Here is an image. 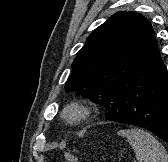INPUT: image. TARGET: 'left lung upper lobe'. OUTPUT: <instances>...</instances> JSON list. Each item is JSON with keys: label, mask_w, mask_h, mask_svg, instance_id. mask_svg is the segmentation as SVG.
Masks as SVG:
<instances>
[{"label": "left lung upper lobe", "mask_w": 168, "mask_h": 162, "mask_svg": "<svg viewBox=\"0 0 168 162\" xmlns=\"http://www.w3.org/2000/svg\"><path fill=\"white\" fill-rule=\"evenodd\" d=\"M157 45L149 21L136 12H118L95 29L72 63L65 90L106 106L115 87L127 79Z\"/></svg>", "instance_id": "5c2ea615"}]
</instances>
